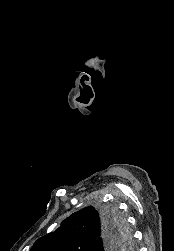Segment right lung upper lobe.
<instances>
[{
  "label": "right lung upper lobe",
  "mask_w": 174,
  "mask_h": 251,
  "mask_svg": "<svg viewBox=\"0 0 174 251\" xmlns=\"http://www.w3.org/2000/svg\"><path fill=\"white\" fill-rule=\"evenodd\" d=\"M104 218L93 206L86 207L66 218L56 231L39 238L30 251H104L106 248L101 245ZM123 241L118 232L111 248L120 250Z\"/></svg>",
  "instance_id": "obj_1"
}]
</instances>
